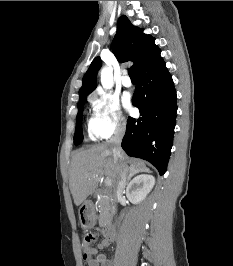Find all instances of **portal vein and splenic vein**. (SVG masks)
<instances>
[{
    "label": "portal vein and splenic vein",
    "instance_id": "18ae733b",
    "mask_svg": "<svg viewBox=\"0 0 233 266\" xmlns=\"http://www.w3.org/2000/svg\"><path fill=\"white\" fill-rule=\"evenodd\" d=\"M104 183L106 186H111L112 185V180L110 178H105Z\"/></svg>",
    "mask_w": 233,
    "mask_h": 266
}]
</instances>
